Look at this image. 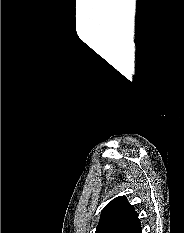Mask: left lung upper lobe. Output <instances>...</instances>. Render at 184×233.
Wrapping results in <instances>:
<instances>
[{"mask_svg":"<svg viewBox=\"0 0 184 233\" xmlns=\"http://www.w3.org/2000/svg\"><path fill=\"white\" fill-rule=\"evenodd\" d=\"M95 233H142L138 214L125 196L114 198L103 208Z\"/></svg>","mask_w":184,"mask_h":233,"instance_id":"5c2ea615","label":"left lung upper lobe"}]
</instances>
